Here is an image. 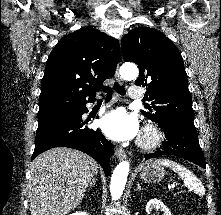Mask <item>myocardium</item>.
Segmentation results:
<instances>
[{
	"mask_svg": "<svg viewBox=\"0 0 221 215\" xmlns=\"http://www.w3.org/2000/svg\"><path fill=\"white\" fill-rule=\"evenodd\" d=\"M160 141V130L154 125H147L141 132V135L138 139V145L142 149L149 150L158 146Z\"/></svg>",
	"mask_w": 221,
	"mask_h": 215,
	"instance_id": "f54148a6",
	"label": "myocardium"
}]
</instances>
